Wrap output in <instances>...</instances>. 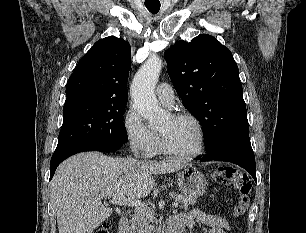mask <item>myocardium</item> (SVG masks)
<instances>
[{
	"label": "myocardium",
	"mask_w": 306,
	"mask_h": 233,
	"mask_svg": "<svg viewBox=\"0 0 306 233\" xmlns=\"http://www.w3.org/2000/svg\"><path fill=\"white\" fill-rule=\"evenodd\" d=\"M172 117L176 120L187 119V120L192 121L195 124L199 132V138H200L199 146L197 150L193 152H187V153L179 152L170 147L164 134L159 133L162 150L166 154L170 156L178 157V158H195V157L200 156L204 152L205 145H206V133H205V129H204L202 122L195 115L188 113V112H178V113L173 114Z\"/></svg>",
	"instance_id": "f54148a6"
}]
</instances>
